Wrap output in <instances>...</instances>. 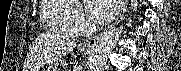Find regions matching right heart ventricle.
I'll use <instances>...</instances> for the list:
<instances>
[{"instance_id": "right-heart-ventricle-1", "label": "right heart ventricle", "mask_w": 181, "mask_h": 71, "mask_svg": "<svg viewBox=\"0 0 181 71\" xmlns=\"http://www.w3.org/2000/svg\"><path fill=\"white\" fill-rule=\"evenodd\" d=\"M75 10L76 6L72 1L44 0L41 6V19L50 30L75 36L80 32L71 23Z\"/></svg>"}]
</instances>
